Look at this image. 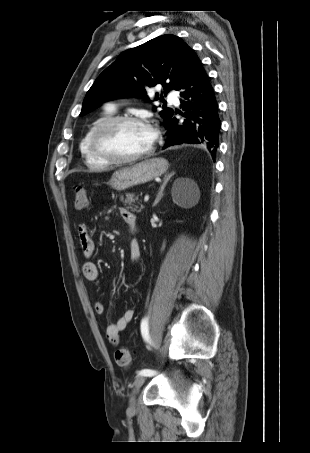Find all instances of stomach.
Masks as SVG:
<instances>
[{"label":"stomach","mask_w":310,"mask_h":453,"mask_svg":"<svg viewBox=\"0 0 310 453\" xmlns=\"http://www.w3.org/2000/svg\"><path fill=\"white\" fill-rule=\"evenodd\" d=\"M168 162L164 158L144 160L129 167L115 171L108 184L117 191L145 184L166 172Z\"/></svg>","instance_id":"stomach-1"}]
</instances>
